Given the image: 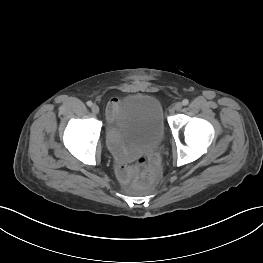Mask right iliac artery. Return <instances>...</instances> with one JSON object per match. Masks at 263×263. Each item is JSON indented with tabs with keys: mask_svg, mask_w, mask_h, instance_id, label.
Instances as JSON below:
<instances>
[{
	"mask_svg": "<svg viewBox=\"0 0 263 263\" xmlns=\"http://www.w3.org/2000/svg\"><path fill=\"white\" fill-rule=\"evenodd\" d=\"M87 105H88L89 107H91V106L93 105V103H92L91 101H88V102H87Z\"/></svg>",
	"mask_w": 263,
	"mask_h": 263,
	"instance_id": "82829eb1",
	"label": "right iliac artery"
}]
</instances>
